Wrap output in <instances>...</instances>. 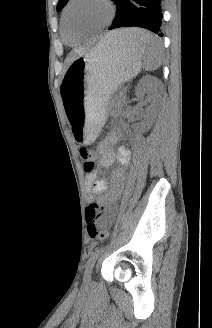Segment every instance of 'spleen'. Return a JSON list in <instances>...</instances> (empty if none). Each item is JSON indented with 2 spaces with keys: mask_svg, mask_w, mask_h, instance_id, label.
<instances>
[{
  "mask_svg": "<svg viewBox=\"0 0 212 328\" xmlns=\"http://www.w3.org/2000/svg\"><path fill=\"white\" fill-rule=\"evenodd\" d=\"M119 41L127 43L129 46L143 50L145 52L144 69L153 71L160 67L162 59L161 45L149 46L146 42L156 39L154 35L143 29H130L128 40L124 41L123 36L115 35Z\"/></svg>",
  "mask_w": 212,
  "mask_h": 328,
  "instance_id": "spleen-1",
  "label": "spleen"
}]
</instances>
